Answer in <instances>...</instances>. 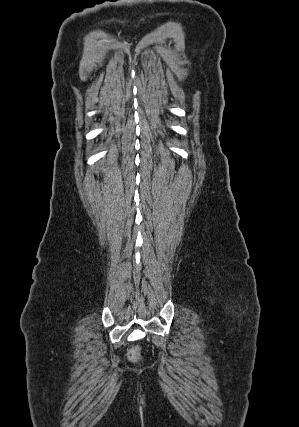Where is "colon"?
Returning <instances> with one entry per match:
<instances>
[{
    "label": "colon",
    "instance_id": "obj_1",
    "mask_svg": "<svg viewBox=\"0 0 299 427\" xmlns=\"http://www.w3.org/2000/svg\"><path fill=\"white\" fill-rule=\"evenodd\" d=\"M141 349L138 346L132 347L127 353V357L131 362H137L140 359Z\"/></svg>",
    "mask_w": 299,
    "mask_h": 427
}]
</instances>
